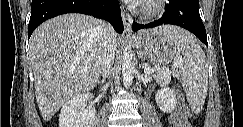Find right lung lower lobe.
Here are the masks:
<instances>
[{"mask_svg":"<svg viewBox=\"0 0 243 127\" xmlns=\"http://www.w3.org/2000/svg\"><path fill=\"white\" fill-rule=\"evenodd\" d=\"M65 13H82L107 20L118 33L123 22L118 0H32L28 38L45 20Z\"/></svg>","mask_w":243,"mask_h":127,"instance_id":"right-lung-lower-lobe-1","label":"right lung lower lobe"}]
</instances>
